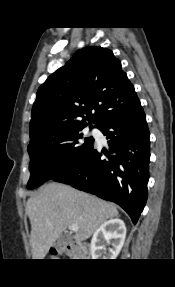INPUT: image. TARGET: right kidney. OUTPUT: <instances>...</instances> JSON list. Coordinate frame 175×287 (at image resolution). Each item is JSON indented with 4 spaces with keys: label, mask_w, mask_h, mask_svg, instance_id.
<instances>
[{
    "label": "right kidney",
    "mask_w": 175,
    "mask_h": 287,
    "mask_svg": "<svg viewBox=\"0 0 175 287\" xmlns=\"http://www.w3.org/2000/svg\"><path fill=\"white\" fill-rule=\"evenodd\" d=\"M126 237V227L121 219L104 222L93 234L91 240L92 259H116ZM107 245H111L108 249Z\"/></svg>",
    "instance_id": "right-kidney-1"
}]
</instances>
